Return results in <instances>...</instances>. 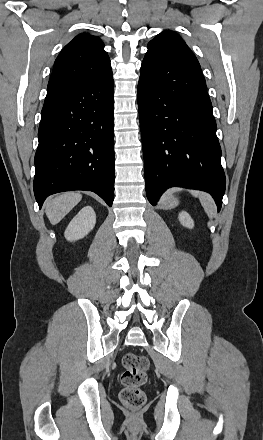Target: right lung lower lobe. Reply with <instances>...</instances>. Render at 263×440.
<instances>
[{
	"label": "right lung lower lobe",
	"mask_w": 263,
	"mask_h": 440,
	"mask_svg": "<svg viewBox=\"0 0 263 440\" xmlns=\"http://www.w3.org/2000/svg\"><path fill=\"white\" fill-rule=\"evenodd\" d=\"M113 112L112 73L46 97L33 183L39 208L49 195L70 190L93 191L112 206Z\"/></svg>",
	"instance_id": "right-lung-lower-lobe-1"
}]
</instances>
